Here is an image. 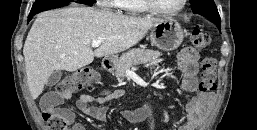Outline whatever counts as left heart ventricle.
<instances>
[{
    "label": "left heart ventricle",
    "mask_w": 257,
    "mask_h": 130,
    "mask_svg": "<svg viewBox=\"0 0 257 130\" xmlns=\"http://www.w3.org/2000/svg\"><path fill=\"white\" fill-rule=\"evenodd\" d=\"M182 0H154V3L164 10H174L178 8Z\"/></svg>",
    "instance_id": "left-heart-ventricle-1"
}]
</instances>
